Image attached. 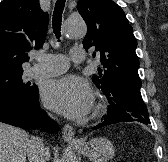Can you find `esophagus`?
Segmentation results:
<instances>
[{
  "mask_svg": "<svg viewBox=\"0 0 168 162\" xmlns=\"http://www.w3.org/2000/svg\"><path fill=\"white\" fill-rule=\"evenodd\" d=\"M62 138L65 142H68V143H71V144L79 143V140L76 139V137H75L74 129L69 124H66L63 127Z\"/></svg>",
  "mask_w": 168,
  "mask_h": 162,
  "instance_id": "34e87169",
  "label": "esophagus"
}]
</instances>
